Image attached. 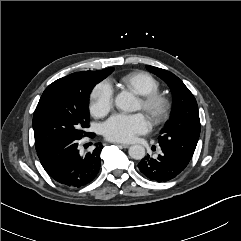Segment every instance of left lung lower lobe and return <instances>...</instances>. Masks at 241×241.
I'll use <instances>...</instances> for the list:
<instances>
[{
	"mask_svg": "<svg viewBox=\"0 0 241 241\" xmlns=\"http://www.w3.org/2000/svg\"><path fill=\"white\" fill-rule=\"evenodd\" d=\"M187 165L175 153L161 147L158 157L147 155L139 162L138 168L150 180L165 182L177 177Z\"/></svg>",
	"mask_w": 241,
	"mask_h": 241,
	"instance_id": "left-lung-lower-lobe-1",
	"label": "left lung lower lobe"
}]
</instances>
